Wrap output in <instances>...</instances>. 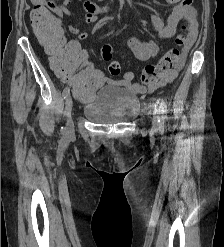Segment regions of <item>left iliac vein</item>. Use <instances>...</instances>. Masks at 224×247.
Segmentation results:
<instances>
[{
  "mask_svg": "<svg viewBox=\"0 0 224 247\" xmlns=\"http://www.w3.org/2000/svg\"><path fill=\"white\" fill-rule=\"evenodd\" d=\"M158 117L157 116H154V118H153V128L154 129H157V127H158Z\"/></svg>",
  "mask_w": 224,
  "mask_h": 247,
  "instance_id": "obj_1",
  "label": "left iliac vein"
}]
</instances>
